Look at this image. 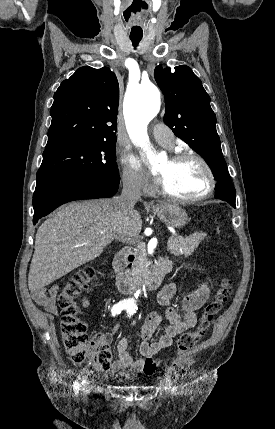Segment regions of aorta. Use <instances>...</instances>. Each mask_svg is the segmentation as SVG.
Here are the masks:
<instances>
[{
	"label": "aorta",
	"instance_id": "1",
	"mask_svg": "<svg viewBox=\"0 0 275 429\" xmlns=\"http://www.w3.org/2000/svg\"><path fill=\"white\" fill-rule=\"evenodd\" d=\"M160 107L161 95L153 84L137 86L125 100L124 117L128 133L132 141L144 150L150 148L147 125L158 114ZM152 164L156 166V162Z\"/></svg>",
	"mask_w": 275,
	"mask_h": 429
}]
</instances>
